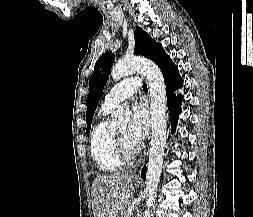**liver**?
<instances>
[{
	"label": "liver",
	"instance_id": "obj_1",
	"mask_svg": "<svg viewBox=\"0 0 253 217\" xmlns=\"http://www.w3.org/2000/svg\"><path fill=\"white\" fill-rule=\"evenodd\" d=\"M133 194L131 176L121 173L97 176L92 185L94 217H124Z\"/></svg>",
	"mask_w": 253,
	"mask_h": 217
}]
</instances>
